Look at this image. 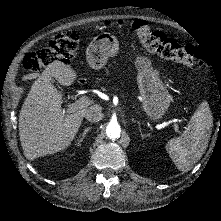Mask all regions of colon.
I'll return each instance as SVG.
<instances>
[{
	"instance_id": "5ec220e1",
	"label": "colon",
	"mask_w": 221,
	"mask_h": 221,
	"mask_svg": "<svg viewBox=\"0 0 221 221\" xmlns=\"http://www.w3.org/2000/svg\"><path fill=\"white\" fill-rule=\"evenodd\" d=\"M104 24L106 27L114 25L118 30L130 26L148 52L167 60L205 69V62L201 59L203 55L198 48L181 45L164 33L152 30L141 20H106ZM79 42L80 35L75 31L56 34L48 46L27 53L22 60V67L26 73H32L53 63L69 61L74 57Z\"/></svg>"
}]
</instances>
